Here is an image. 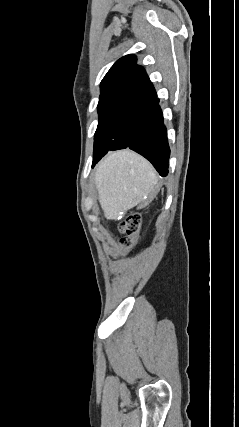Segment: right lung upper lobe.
<instances>
[{
    "instance_id": "right-lung-upper-lobe-1",
    "label": "right lung upper lobe",
    "mask_w": 239,
    "mask_h": 427,
    "mask_svg": "<svg viewBox=\"0 0 239 427\" xmlns=\"http://www.w3.org/2000/svg\"><path fill=\"white\" fill-rule=\"evenodd\" d=\"M136 62V56L130 54L114 63L101 81L99 101L124 98L150 100L157 97L144 68Z\"/></svg>"
}]
</instances>
